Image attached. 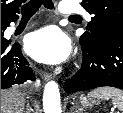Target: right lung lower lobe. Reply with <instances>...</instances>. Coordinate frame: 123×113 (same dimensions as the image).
<instances>
[{"mask_svg":"<svg viewBox=\"0 0 123 113\" xmlns=\"http://www.w3.org/2000/svg\"><path fill=\"white\" fill-rule=\"evenodd\" d=\"M17 19L1 20V89L22 84L26 80H34L32 69L23 57L18 43L9 46L10 42L3 40V32Z\"/></svg>","mask_w":123,"mask_h":113,"instance_id":"1","label":"right lung lower lobe"}]
</instances>
